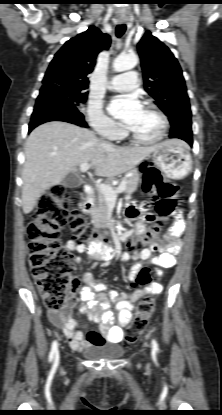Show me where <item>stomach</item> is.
I'll return each instance as SVG.
<instances>
[{
	"instance_id": "obj_1",
	"label": "stomach",
	"mask_w": 222,
	"mask_h": 415,
	"mask_svg": "<svg viewBox=\"0 0 222 415\" xmlns=\"http://www.w3.org/2000/svg\"><path fill=\"white\" fill-rule=\"evenodd\" d=\"M149 159L170 179H182L192 170L189 147L180 140L160 143Z\"/></svg>"
}]
</instances>
